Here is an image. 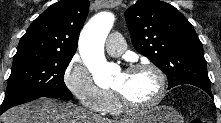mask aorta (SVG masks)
I'll use <instances>...</instances> for the list:
<instances>
[{
    "label": "aorta",
    "mask_w": 221,
    "mask_h": 123,
    "mask_svg": "<svg viewBox=\"0 0 221 123\" xmlns=\"http://www.w3.org/2000/svg\"><path fill=\"white\" fill-rule=\"evenodd\" d=\"M113 23L112 13L100 12L88 21L79 38L81 58L99 87H107L113 81L114 67L107 62L104 55L105 40Z\"/></svg>",
    "instance_id": "obj_1"
}]
</instances>
